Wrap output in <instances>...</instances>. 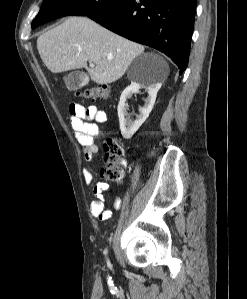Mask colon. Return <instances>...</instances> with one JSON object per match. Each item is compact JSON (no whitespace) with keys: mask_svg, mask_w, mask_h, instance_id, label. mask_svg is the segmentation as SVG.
Returning <instances> with one entry per match:
<instances>
[{"mask_svg":"<svg viewBox=\"0 0 247 299\" xmlns=\"http://www.w3.org/2000/svg\"><path fill=\"white\" fill-rule=\"evenodd\" d=\"M76 94L90 100L105 99L109 95V89L106 86H92L77 91ZM104 150L106 167L102 172L103 176L112 181H120L123 177V170L120 167V158L124 152L122 146L117 140L108 138L104 142Z\"/></svg>","mask_w":247,"mask_h":299,"instance_id":"5ec220e1","label":"colon"}]
</instances>
